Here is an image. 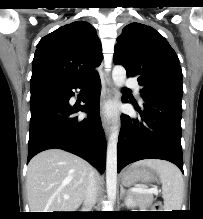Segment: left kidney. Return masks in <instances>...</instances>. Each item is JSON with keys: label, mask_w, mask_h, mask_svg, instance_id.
Returning a JSON list of instances; mask_svg holds the SVG:
<instances>
[{"label": "left kidney", "mask_w": 203, "mask_h": 219, "mask_svg": "<svg viewBox=\"0 0 203 219\" xmlns=\"http://www.w3.org/2000/svg\"><path fill=\"white\" fill-rule=\"evenodd\" d=\"M125 205L128 206V207L135 206V204H134L133 200L130 198V196L126 198Z\"/></svg>", "instance_id": "left-kidney-1"}]
</instances>
